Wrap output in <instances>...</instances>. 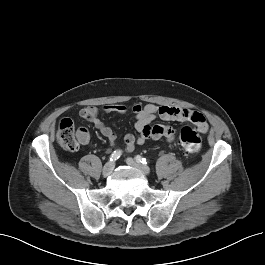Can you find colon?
<instances>
[{"label":"colon","instance_id":"1","mask_svg":"<svg viewBox=\"0 0 265 265\" xmlns=\"http://www.w3.org/2000/svg\"><path fill=\"white\" fill-rule=\"evenodd\" d=\"M179 139L182 148L186 152L196 154L200 151L202 138L198 130L185 126L180 131ZM57 142L67 151L78 150L80 141L72 120L64 118L60 121L57 130Z\"/></svg>","mask_w":265,"mask_h":265}]
</instances>
